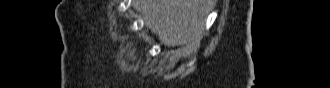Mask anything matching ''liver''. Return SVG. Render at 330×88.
<instances>
[{"mask_svg": "<svg viewBox=\"0 0 330 88\" xmlns=\"http://www.w3.org/2000/svg\"><path fill=\"white\" fill-rule=\"evenodd\" d=\"M213 0H139L134 7L165 46L201 39Z\"/></svg>", "mask_w": 330, "mask_h": 88, "instance_id": "obj_1", "label": "liver"}]
</instances>
